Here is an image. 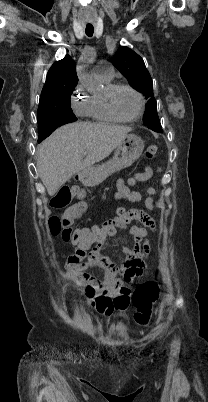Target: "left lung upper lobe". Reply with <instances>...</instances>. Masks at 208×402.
<instances>
[{
    "instance_id": "left-lung-upper-lobe-1",
    "label": "left lung upper lobe",
    "mask_w": 208,
    "mask_h": 402,
    "mask_svg": "<svg viewBox=\"0 0 208 402\" xmlns=\"http://www.w3.org/2000/svg\"><path fill=\"white\" fill-rule=\"evenodd\" d=\"M112 63L126 77L131 86L140 90L148 99L144 119L147 127L153 131L162 132L153 94V81L143 59L130 48L120 46Z\"/></svg>"
}]
</instances>
